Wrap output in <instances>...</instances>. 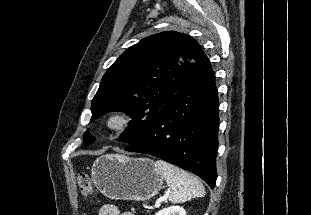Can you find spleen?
<instances>
[{
  "mask_svg": "<svg viewBox=\"0 0 311 215\" xmlns=\"http://www.w3.org/2000/svg\"><path fill=\"white\" fill-rule=\"evenodd\" d=\"M155 166L171 188L169 200L172 203H183L191 198L205 195V188L201 181L189 172L163 160H157Z\"/></svg>",
  "mask_w": 311,
  "mask_h": 215,
  "instance_id": "3e777b00",
  "label": "spleen"
}]
</instances>
